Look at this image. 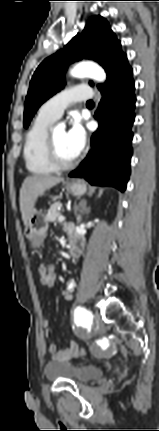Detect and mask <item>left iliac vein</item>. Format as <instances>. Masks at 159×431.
Returning <instances> with one entry per match:
<instances>
[{
    "label": "left iliac vein",
    "instance_id": "left-iliac-vein-1",
    "mask_svg": "<svg viewBox=\"0 0 159 431\" xmlns=\"http://www.w3.org/2000/svg\"><path fill=\"white\" fill-rule=\"evenodd\" d=\"M93 321L97 326H100L102 324L101 317L97 313L93 315Z\"/></svg>",
    "mask_w": 159,
    "mask_h": 431
}]
</instances>
